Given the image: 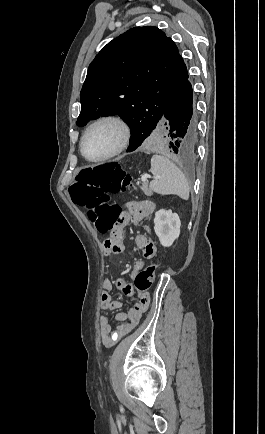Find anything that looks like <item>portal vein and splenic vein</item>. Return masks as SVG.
Instances as JSON below:
<instances>
[{
  "instance_id": "18ae733b",
  "label": "portal vein and splenic vein",
  "mask_w": 265,
  "mask_h": 434,
  "mask_svg": "<svg viewBox=\"0 0 265 434\" xmlns=\"http://www.w3.org/2000/svg\"><path fill=\"white\" fill-rule=\"evenodd\" d=\"M148 178H152V176H149V174H145V176H142L141 182H147Z\"/></svg>"
}]
</instances>
